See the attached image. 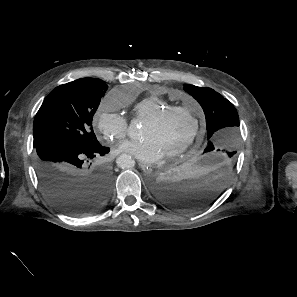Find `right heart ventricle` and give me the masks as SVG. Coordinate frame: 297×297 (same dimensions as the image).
<instances>
[{
    "instance_id": "e07e8e85",
    "label": "right heart ventricle",
    "mask_w": 297,
    "mask_h": 297,
    "mask_svg": "<svg viewBox=\"0 0 297 297\" xmlns=\"http://www.w3.org/2000/svg\"><path fill=\"white\" fill-rule=\"evenodd\" d=\"M171 107L162 97L148 96L137 102L133 107L136 119L144 121L164 108Z\"/></svg>"
}]
</instances>
